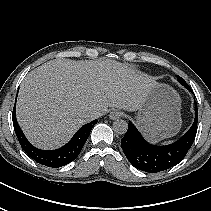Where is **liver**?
Here are the masks:
<instances>
[{
    "label": "liver",
    "mask_w": 211,
    "mask_h": 211,
    "mask_svg": "<svg viewBox=\"0 0 211 211\" xmlns=\"http://www.w3.org/2000/svg\"><path fill=\"white\" fill-rule=\"evenodd\" d=\"M155 80L120 62L55 59L31 71L20 85L17 120L42 149L66 143L89 114L109 107L139 110Z\"/></svg>",
    "instance_id": "liver-1"
}]
</instances>
